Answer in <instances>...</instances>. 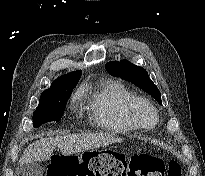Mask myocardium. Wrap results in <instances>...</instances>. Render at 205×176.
Returning a JSON list of instances; mask_svg holds the SVG:
<instances>
[{"instance_id":"obj_1","label":"myocardium","mask_w":205,"mask_h":176,"mask_svg":"<svg viewBox=\"0 0 205 176\" xmlns=\"http://www.w3.org/2000/svg\"><path fill=\"white\" fill-rule=\"evenodd\" d=\"M142 108L150 110L155 117V120L151 124H145L139 117V112ZM127 113L130 120L135 124L137 128L148 130L156 126L159 122V114L156 107L151 101L144 97H134L128 105Z\"/></svg>"}]
</instances>
